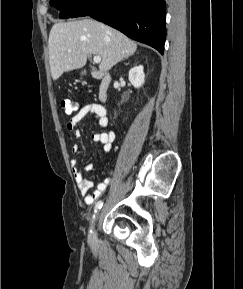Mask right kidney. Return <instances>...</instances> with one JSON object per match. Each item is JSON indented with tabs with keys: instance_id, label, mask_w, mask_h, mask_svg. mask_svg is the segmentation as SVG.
Here are the masks:
<instances>
[{
	"instance_id": "ca27d5eb",
	"label": "right kidney",
	"mask_w": 243,
	"mask_h": 289,
	"mask_svg": "<svg viewBox=\"0 0 243 289\" xmlns=\"http://www.w3.org/2000/svg\"><path fill=\"white\" fill-rule=\"evenodd\" d=\"M129 81L135 88H140L145 81L143 66H135L129 71Z\"/></svg>"
}]
</instances>
